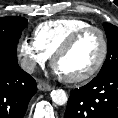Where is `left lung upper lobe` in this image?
<instances>
[{"mask_svg": "<svg viewBox=\"0 0 118 118\" xmlns=\"http://www.w3.org/2000/svg\"><path fill=\"white\" fill-rule=\"evenodd\" d=\"M107 40H108V52L107 58L97 76L118 70V27L110 24H103Z\"/></svg>", "mask_w": 118, "mask_h": 118, "instance_id": "left-lung-upper-lobe-1", "label": "left lung upper lobe"}]
</instances>
